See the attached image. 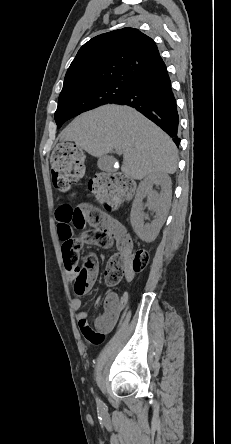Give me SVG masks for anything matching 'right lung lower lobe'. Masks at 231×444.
<instances>
[{"label":"right lung lower lobe","mask_w":231,"mask_h":444,"mask_svg":"<svg viewBox=\"0 0 231 444\" xmlns=\"http://www.w3.org/2000/svg\"><path fill=\"white\" fill-rule=\"evenodd\" d=\"M115 104L131 106L167 132L177 146L179 116L167 70L134 83L129 93Z\"/></svg>","instance_id":"1"}]
</instances>
